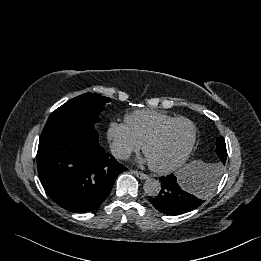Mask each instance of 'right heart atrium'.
Listing matches in <instances>:
<instances>
[{"label":"right heart atrium","mask_w":261,"mask_h":261,"mask_svg":"<svg viewBox=\"0 0 261 261\" xmlns=\"http://www.w3.org/2000/svg\"><path fill=\"white\" fill-rule=\"evenodd\" d=\"M106 136L111 151L119 159H127L141 148V144L135 139L126 124L116 121L110 122Z\"/></svg>","instance_id":"d8ad5b80"}]
</instances>
